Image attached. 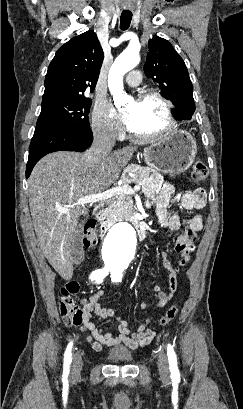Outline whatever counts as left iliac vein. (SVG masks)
Returning <instances> with one entry per match:
<instances>
[{
	"instance_id": "4c4485c4",
	"label": "left iliac vein",
	"mask_w": 243,
	"mask_h": 409,
	"mask_svg": "<svg viewBox=\"0 0 243 409\" xmlns=\"http://www.w3.org/2000/svg\"><path fill=\"white\" fill-rule=\"evenodd\" d=\"M158 369H159V373L161 378L163 379H167L168 378V361H167V357L165 355L164 352H161L159 354V358H158Z\"/></svg>"
}]
</instances>
